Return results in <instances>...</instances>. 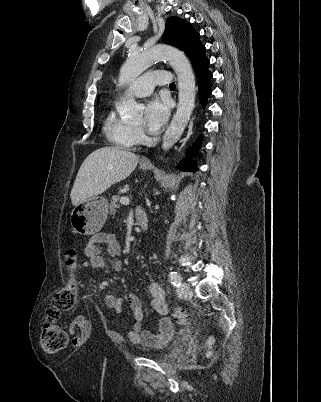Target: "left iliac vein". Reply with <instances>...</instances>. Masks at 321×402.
Returning <instances> with one entry per match:
<instances>
[{"mask_svg": "<svg viewBox=\"0 0 321 402\" xmlns=\"http://www.w3.org/2000/svg\"><path fill=\"white\" fill-rule=\"evenodd\" d=\"M180 292H181V295L187 299L191 298L193 295L192 289L190 288L189 284H187V283L181 284Z\"/></svg>", "mask_w": 321, "mask_h": 402, "instance_id": "left-iliac-vein-1", "label": "left iliac vein"}]
</instances>
